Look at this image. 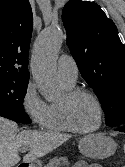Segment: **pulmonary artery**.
I'll use <instances>...</instances> for the list:
<instances>
[{
	"mask_svg": "<svg viewBox=\"0 0 125 167\" xmlns=\"http://www.w3.org/2000/svg\"><path fill=\"white\" fill-rule=\"evenodd\" d=\"M57 69L60 78L67 83H75L78 78V66L72 56L63 54L58 58Z\"/></svg>",
	"mask_w": 125,
	"mask_h": 167,
	"instance_id": "pulmonary-artery-1",
	"label": "pulmonary artery"
}]
</instances>
